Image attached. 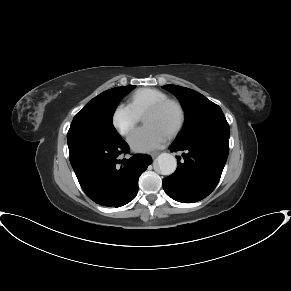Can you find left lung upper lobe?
<instances>
[{"mask_svg": "<svg viewBox=\"0 0 291 291\" xmlns=\"http://www.w3.org/2000/svg\"><path fill=\"white\" fill-rule=\"evenodd\" d=\"M163 87L179 98L185 110V126L176 142L188 141L214 131L229 130L221 108L202 94L177 85Z\"/></svg>", "mask_w": 291, "mask_h": 291, "instance_id": "1", "label": "left lung upper lobe"}]
</instances>
